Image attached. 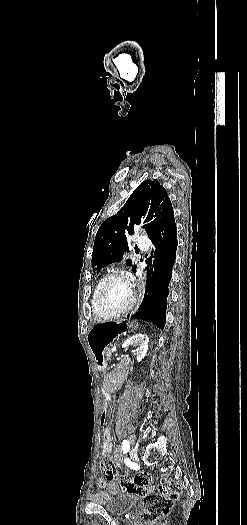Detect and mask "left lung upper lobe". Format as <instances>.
I'll list each match as a JSON object with an SVG mask.
<instances>
[{
    "label": "left lung upper lobe",
    "mask_w": 247,
    "mask_h": 525,
    "mask_svg": "<svg viewBox=\"0 0 247 525\" xmlns=\"http://www.w3.org/2000/svg\"><path fill=\"white\" fill-rule=\"evenodd\" d=\"M171 214L172 203L165 188L157 180L143 181L121 210L100 226L92 253L93 270L99 271L112 262L122 260L123 252L129 251L127 237L134 234V230L143 228L150 237ZM126 264L132 265L131 260H127Z\"/></svg>",
    "instance_id": "5c2ea615"
}]
</instances>
